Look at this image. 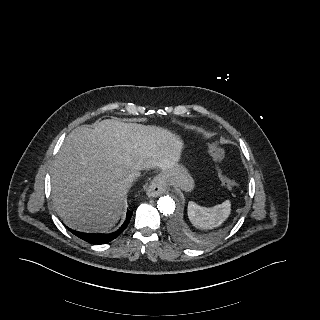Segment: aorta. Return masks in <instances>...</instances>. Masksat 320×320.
Listing matches in <instances>:
<instances>
[{"mask_svg": "<svg viewBox=\"0 0 320 320\" xmlns=\"http://www.w3.org/2000/svg\"><path fill=\"white\" fill-rule=\"evenodd\" d=\"M157 208L164 215L173 214L176 208L175 200L169 195L161 196L157 201Z\"/></svg>", "mask_w": 320, "mask_h": 320, "instance_id": "762f6f07", "label": "aorta"}]
</instances>
